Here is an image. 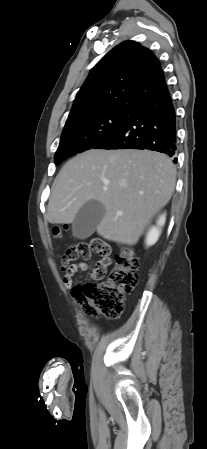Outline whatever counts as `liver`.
<instances>
[{
  "mask_svg": "<svg viewBox=\"0 0 207 449\" xmlns=\"http://www.w3.org/2000/svg\"><path fill=\"white\" fill-rule=\"evenodd\" d=\"M175 181L176 168L164 154L91 149L69 160L58 173L46 217L51 224H70L86 202L97 200L106 209L98 235L134 245L171 199Z\"/></svg>",
  "mask_w": 207,
  "mask_h": 449,
  "instance_id": "obj_1",
  "label": "liver"
}]
</instances>
